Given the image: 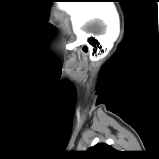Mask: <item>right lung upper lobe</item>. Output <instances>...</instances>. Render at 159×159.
Returning <instances> with one entry per match:
<instances>
[{
	"mask_svg": "<svg viewBox=\"0 0 159 159\" xmlns=\"http://www.w3.org/2000/svg\"><path fill=\"white\" fill-rule=\"evenodd\" d=\"M88 151L91 153L97 154L99 157L97 159H104V156L107 153H111L114 149L105 143H98L95 146L91 147Z\"/></svg>",
	"mask_w": 159,
	"mask_h": 159,
	"instance_id": "obj_1",
	"label": "right lung upper lobe"
}]
</instances>
